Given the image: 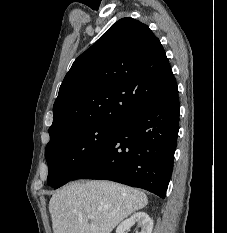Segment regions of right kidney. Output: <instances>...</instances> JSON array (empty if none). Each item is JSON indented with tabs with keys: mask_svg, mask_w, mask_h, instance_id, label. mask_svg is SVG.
Listing matches in <instances>:
<instances>
[{
	"mask_svg": "<svg viewBox=\"0 0 227 233\" xmlns=\"http://www.w3.org/2000/svg\"><path fill=\"white\" fill-rule=\"evenodd\" d=\"M135 224L141 227V231L136 233H152L153 220L145 212H137L121 222L116 229V233H128Z\"/></svg>",
	"mask_w": 227,
	"mask_h": 233,
	"instance_id": "1",
	"label": "right kidney"
}]
</instances>
